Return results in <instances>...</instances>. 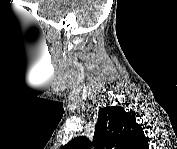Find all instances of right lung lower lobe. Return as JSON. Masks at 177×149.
<instances>
[{
	"instance_id": "right-lung-lower-lobe-1",
	"label": "right lung lower lobe",
	"mask_w": 177,
	"mask_h": 149,
	"mask_svg": "<svg viewBox=\"0 0 177 149\" xmlns=\"http://www.w3.org/2000/svg\"><path fill=\"white\" fill-rule=\"evenodd\" d=\"M148 147H149L148 143L143 146L144 149H148Z\"/></svg>"
}]
</instances>
